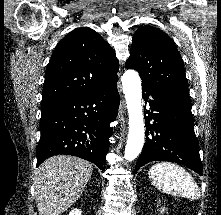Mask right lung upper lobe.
Instances as JSON below:
<instances>
[{"label":"right lung upper lobe","mask_w":221,"mask_h":215,"mask_svg":"<svg viewBox=\"0 0 221 215\" xmlns=\"http://www.w3.org/2000/svg\"><path fill=\"white\" fill-rule=\"evenodd\" d=\"M118 60L93 29L77 28L55 48L45 74L41 110L62 105L117 79Z\"/></svg>","instance_id":"cb5924a9"}]
</instances>
